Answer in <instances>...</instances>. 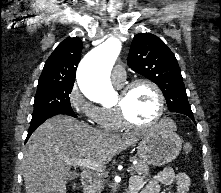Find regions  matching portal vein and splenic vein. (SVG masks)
<instances>
[{
    "mask_svg": "<svg viewBox=\"0 0 221 193\" xmlns=\"http://www.w3.org/2000/svg\"><path fill=\"white\" fill-rule=\"evenodd\" d=\"M66 162L70 165H73V166H80V167H84V168H89V169H92V170H95V171L101 172V173L104 172V168L101 164H98V163L91 161L87 158L76 159V160H66ZM132 171H133L132 166L127 168V172H132Z\"/></svg>",
    "mask_w": 221,
    "mask_h": 193,
    "instance_id": "portal-vein-and-splenic-vein-1",
    "label": "portal vein and splenic vein"
}]
</instances>
